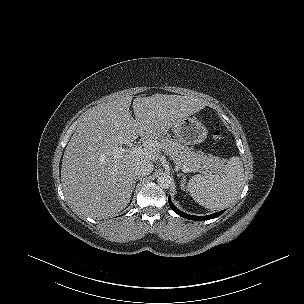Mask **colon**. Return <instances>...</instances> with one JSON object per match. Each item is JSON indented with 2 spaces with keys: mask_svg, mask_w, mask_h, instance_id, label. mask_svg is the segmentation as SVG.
<instances>
[{
  "mask_svg": "<svg viewBox=\"0 0 304 304\" xmlns=\"http://www.w3.org/2000/svg\"><path fill=\"white\" fill-rule=\"evenodd\" d=\"M219 136H220V133H219V132H216V133H215V137L218 138Z\"/></svg>",
  "mask_w": 304,
  "mask_h": 304,
  "instance_id": "colon-1",
  "label": "colon"
}]
</instances>
